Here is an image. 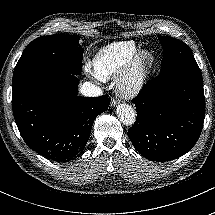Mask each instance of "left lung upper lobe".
I'll return each instance as SVG.
<instances>
[{
	"instance_id": "1",
	"label": "left lung upper lobe",
	"mask_w": 215,
	"mask_h": 215,
	"mask_svg": "<svg viewBox=\"0 0 215 215\" xmlns=\"http://www.w3.org/2000/svg\"><path fill=\"white\" fill-rule=\"evenodd\" d=\"M161 42L165 55L162 59L160 73L185 62L195 61L192 51L184 42L166 36L158 38Z\"/></svg>"
}]
</instances>
